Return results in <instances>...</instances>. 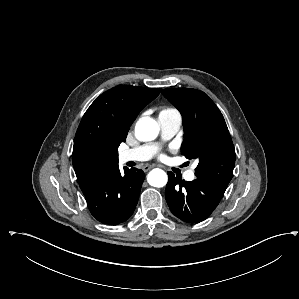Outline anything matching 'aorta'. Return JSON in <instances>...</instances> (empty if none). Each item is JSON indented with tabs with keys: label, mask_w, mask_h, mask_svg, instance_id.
<instances>
[{
	"label": "aorta",
	"mask_w": 299,
	"mask_h": 299,
	"mask_svg": "<svg viewBox=\"0 0 299 299\" xmlns=\"http://www.w3.org/2000/svg\"><path fill=\"white\" fill-rule=\"evenodd\" d=\"M158 134L159 126L154 119L144 117L139 119L136 123L135 135L140 141L154 140ZM147 181L151 186L160 188L166 185L168 176L163 170L155 168L149 172Z\"/></svg>",
	"instance_id": "aorta-1"
}]
</instances>
